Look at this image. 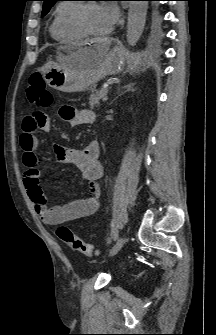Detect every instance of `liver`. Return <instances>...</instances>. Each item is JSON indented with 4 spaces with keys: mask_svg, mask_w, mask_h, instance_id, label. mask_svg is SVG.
<instances>
[{
    "mask_svg": "<svg viewBox=\"0 0 216 335\" xmlns=\"http://www.w3.org/2000/svg\"><path fill=\"white\" fill-rule=\"evenodd\" d=\"M91 43H95L94 49L92 52L85 53L83 52V48H80L76 54L72 56L69 61V67L72 69L83 70L89 69L96 66L102 60L105 53H107L110 47L109 39H95L92 40ZM87 44L82 43L80 45Z\"/></svg>",
    "mask_w": 216,
    "mask_h": 335,
    "instance_id": "1",
    "label": "liver"
}]
</instances>
